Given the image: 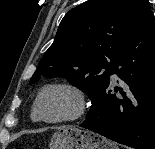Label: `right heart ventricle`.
Listing matches in <instances>:
<instances>
[{"label": "right heart ventricle", "mask_w": 155, "mask_h": 149, "mask_svg": "<svg viewBox=\"0 0 155 149\" xmlns=\"http://www.w3.org/2000/svg\"><path fill=\"white\" fill-rule=\"evenodd\" d=\"M32 119H33V121H39L38 119H37V117H36V115L33 113V111H32Z\"/></svg>", "instance_id": "right-heart-ventricle-1"}]
</instances>
